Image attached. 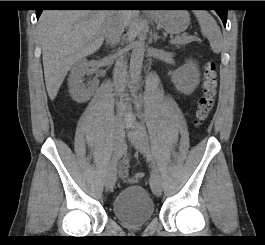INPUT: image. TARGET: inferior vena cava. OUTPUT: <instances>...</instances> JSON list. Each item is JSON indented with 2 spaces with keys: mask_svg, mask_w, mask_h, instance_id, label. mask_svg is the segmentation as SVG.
Here are the masks:
<instances>
[{
  "mask_svg": "<svg viewBox=\"0 0 265 245\" xmlns=\"http://www.w3.org/2000/svg\"><path fill=\"white\" fill-rule=\"evenodd\" d=\"M124 28L125 24L121 18L120 12H114V15L108 21L106 26V42H108L112 46L117 45L120 42ZM114 56L117 58L113 71L114 87L116 93L120 95L124 92L126 84V64L124 62V56L121 52H117ZM118 110L120 112L125 110V106L122 102L119 103Z\"/></svg>",
  "mask_w": 265,
  "mask_h": 245,
  "instance_id": "1",
  "label": "inferior vena cava"
}]
</instances>
